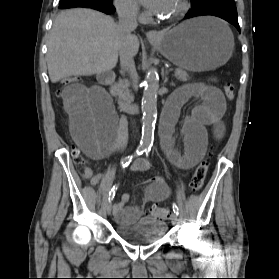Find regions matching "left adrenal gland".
<instances>
[{"label": "left adrenal gland", "mask_w": 279, "mask_h": 279, "mask_svg": "<svg viewBox=\"0 0 279 279\" xmlns=\"http://www.w3.org/2000/svg\"><path fill=\"white\" fill-rule=\"evenodd\" d=\"M168 81V78H167V76L165 77V82H167ZM171 85L172 86H175V84L174 83H171Z\"/></svg>", "instance_id": "obj_1"}]
</instances>
